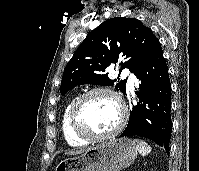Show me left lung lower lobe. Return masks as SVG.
<instances>
[{"mask_svg": "<svg viewBox=\"0 0 199 171\" xmlns=\"http://www.w3.org/2000/svg\"><path fill=\"white\" fill-rule=\"evenodd\" d=\"M140 80L137 105L132 104L127 127L119 137L142 136L170 150L171 83L160 42L134 73Z\"/></svg>", "mask_w": 199, "mask_h": 171, "instance_id": "1", "label": "left lung lower lobe"}]
</instances>
